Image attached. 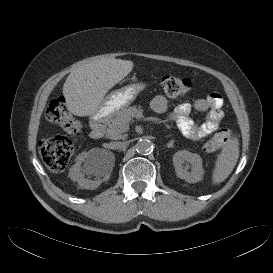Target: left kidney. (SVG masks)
Returning a JSON list of instances; mask_svg holds the SVG:
<instances>
[{"instance_id": "1", "label": "left kidney", "mask_w": 273, "mask_h": 273, "mask_svg": "<svg viewBox=\"0 0 273 273\" xmlns=\"http://www.w3.org/2000/svg\"><path fill=\"white\" fill-rule=\"evenodd\" d=\"M173 165L177 176L189 183H196L203 179L202 158L187 150H180L173 155ZM191 169L188 171V169Z\"/></svg>"}]
</instances>
